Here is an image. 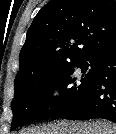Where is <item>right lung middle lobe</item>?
<instances>
[{"label": "right lung middle lobe", "mask_w": 116, "mask_h": 134, "mask_svg": "<svg viewBox=\"0 0 116 134\" xmlns=\"http://www.w3.org/2000/svg\"><path fill=\"white\" fill-rule=\"evenodd\" d=\"M75 67L81 69V75L75 73ZM88 68L90 70L85 74ZM94 74L92 62H78L28 85L14 95L11 103V128L15 129L35 120L53 118L62 113L70 104L79 100ZM55 90L60 91L58 98L52 97Z\"/></svg>", "instance_id": "1"}]
</instances>
